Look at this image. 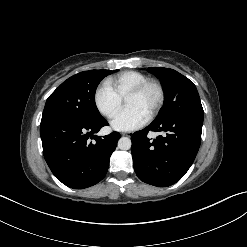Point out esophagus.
<instances>
[{
    "instance_id": "obj_1",
    "label": "esophagus",
    "mask_w": 247,
    "mask_h": 247,
    "mask_svg": "<svg viewBox=\"0 0 247 247\" xmlns=\"http://www.w3.org/2000/svg\"><path fill=\"white\" fill-rule=\"evenodd\" d=\"M122 135H123V136H128V137H130V136L132 135V133H131V132H126V133H122Z\"/></svg>"
}]
</instances>
